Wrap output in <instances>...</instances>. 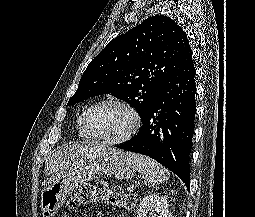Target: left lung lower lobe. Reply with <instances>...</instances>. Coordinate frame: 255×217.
Listing matches in <instances>:
<instances>
[{
	"mask_svg": "<svg viewBox=\"0 0 255 217\" xmlns=\"http://www.w3.org/2000/svg\"><path fill=\"white\" fill-rule=\"evenodd\" d=\"M196 70L190 52L160 85L138 134L118 148L149 156L190 187L196 113Z\"/></svg>",
	"mask_w": 255,
	"mask_h": 217,
	"instance_id": "obj_1",
	"label": "left lung lower lobe"
}]
</instances>
